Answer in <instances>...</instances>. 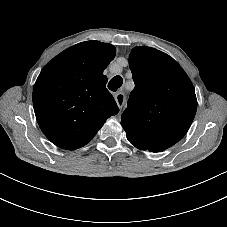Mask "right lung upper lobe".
Instances as JSON below:
<instances>
[{
  "mask_svg": "<svg viewBox=\"0 0 227 227\" xmlns=\"http://www.w3.org/2000/svg\"><path fill=\"white\" fill-rule=\"evenodd\" d=\"M115 53L113 45L82 42L57 55L40 72L33 89L34 111L42 132L56 146L83 147L119 112L103 75Z\"/></svg>",
  "mask_w": 227,
  "mask_h": 227,
  "instance_id": "1",
  "label": "right lung upper lobe"
}]
</instances>
